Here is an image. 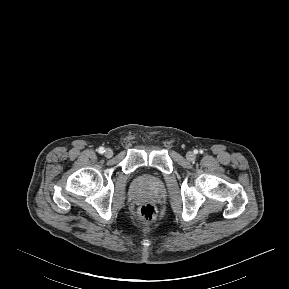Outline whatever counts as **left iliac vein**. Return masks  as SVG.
<instances>
[{
  "label": "left iliac vein",
  "instance_id": "left-iliac-vein-1",
  "mask_svg": "<svg viewBox=\"0 0 289 289\" xmlns=\"http://www.w3.org/2000/svg\"><path fill=\"white\" fill-rule=\"evenodd\" d=\"M186 158H187L189 161H192V160L195 159V155H194L193 152H187Z\"/></svg>",
  "mask_w": 289,
  "mask_h": 289
}]
</instances>
